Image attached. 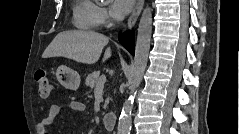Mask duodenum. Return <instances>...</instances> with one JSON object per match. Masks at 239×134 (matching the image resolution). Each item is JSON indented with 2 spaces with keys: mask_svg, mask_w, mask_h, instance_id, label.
<instances>
[{
  "mask_svg": "<svg viewBox=\"0 0 239 134\" xmlns=\"http://www.w3.org/2000/svg\"><path fill=\"white\" fill-rule=\"evenodd\" d=\"M116 114L114 112H107L104 116H103V124L105 126V128L109 131L113 130V128L116 125Z\"/></svg>",
  "mask_w": 239,
  "mask_h": 134,
  "instance_id": "duodenum-1",
  "label": "duodenum"
}]
</instances>
